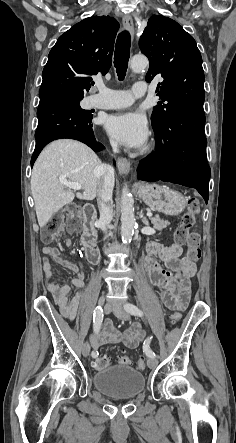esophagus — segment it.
<instances>
[{
	"instance_id": "1",
	"label": "esophagus",
	"mask_w": 236,
	"mask_h": 443,
	"mask_svg": "<svg viewBox=\"0 0 236 443\" xmlns=\"http://www.w3.org/2000/svg\"><path fill=\"white\" fill-rule=\"evenodd\" d=\"M124 27L130 32L131 35L134 34V23L130 15H124L122 18ZM117 168L121 174H128L130 171V162L124 157H119L117 160Z\"/></svg>"
}]
</instances>
